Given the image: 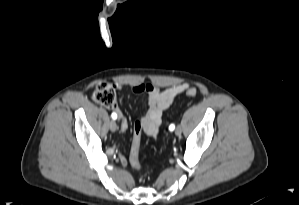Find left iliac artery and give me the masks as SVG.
<instances>
[{"instance_id":"obj_1","label":"left iliac artery","mask_w":299,"mask_h":205,"mask_svg":"<svg viewBox=\"0 0 299 205\" xmlns=\"http://www.w3.org/2000/svg\"><path fill=\"white\" fill-rule=\"evenodd\" d=\"M175 129V125L174 124H171L170 126H169V130L170 131H173Z\"/></svg>"}]
</instances>
